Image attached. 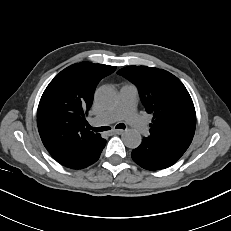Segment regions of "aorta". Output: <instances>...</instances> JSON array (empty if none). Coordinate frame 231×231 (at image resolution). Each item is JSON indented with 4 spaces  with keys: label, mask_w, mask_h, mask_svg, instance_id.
<instances>
[{
    "label": "aorta",
    "mask_w": 231,
    "mask_h": 231,
    "mask_svg": "<svg viewBox=\"0 0 231 231\" xmlns=\"http://www.w3.org/2000/svg\"><path fill=\"white\" fill-rule=\"evenodd\" d=\"M95 100L100 106L109 107L115 104L117 93L111 86H102L96 91ZM122 139L124 144L132 149L137 148L142 142V137L136 130H126Z\"/></svg>",
    "instance_id": "aorta-1"
}]
</instances>
